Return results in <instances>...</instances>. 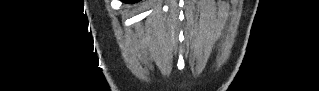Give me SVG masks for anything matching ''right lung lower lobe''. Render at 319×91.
I'll use <instances>...</instances> for the list:
<instances>
[{
  "mask_svg": "<svg viewBox=\"0 0 319 91\" xmlns=\"http://www.w3.org/2000/svg\"><path fill=\"white\" fill-rule=\"evenodd\" d=\"M124 2H127V3H135V2H138V0H123Z\"/></svg>",
  "mask_w": 319,
  "mask_h": 91,
  "instance_id": "obj_1",
  "label": "right lung lower lobe"
}]
</instances>
